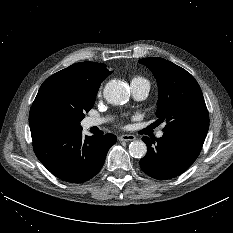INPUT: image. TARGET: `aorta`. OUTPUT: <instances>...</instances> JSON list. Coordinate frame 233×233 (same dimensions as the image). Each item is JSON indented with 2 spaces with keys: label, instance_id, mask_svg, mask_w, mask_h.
<instances>
[{
  "label": "aorta",
  "instance_id": "aorta-1",
  "mask_svg": "<svg viewBox=\"0 0 233 233\" xmlns=\"http://www.w3.org/2000/svg\"><path fill=\"white\" fill-rule=\"evenodd\" d=\"M105 100L112 105L125 103L130 97L127 86L117 80L109 81L103 90ZM129 153L132 157L142 158L147 153V146L143 141H133L129 145Z\"/></svg>",
  "mask_w": 233,
  "mask_h": 233
}]
</instances>
